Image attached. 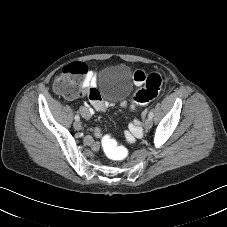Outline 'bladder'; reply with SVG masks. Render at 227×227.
Instances as JSON below:
<instances>
[{"instance_id": "obj_1", "label": "bladder", "mask_w": 227, "mask_h": 227, "mask_svg": "<svg viewBox=\"0 0 227 227\" xmlns=\"http://www.w3.org/2000/svg\"><path fill=\"white\" fill-rule=\"evenodd\" d=\"M105 86H108L109 93L117 100L121 101L127 99L132 87L127 68L118 65L105 73L103 82L99 87L102 90Z\"/></svg>"}]
</instances>
